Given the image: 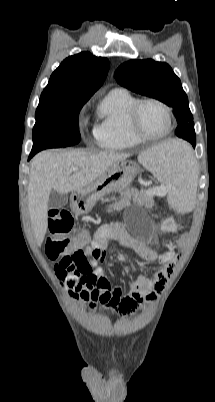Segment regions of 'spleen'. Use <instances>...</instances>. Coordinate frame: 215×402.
I'll list each match as a JSON object with an SVG mask.
<instances>
[{
  "instance_id": "obj_1",
  "label": "spleen",
  "mask_w": 215,
  "mask_h": 402,
  "mask_svg": "<svg viewBox=\"0 0 215 402\" xmlns=\"http://www.w3.org/2000/svg\"><path fill=\"white\" fill-rule=\"evenodd\" d=\"M142 163L159 181L170 186L172 198L171 207L174 210L193 208L198 191L200 170L194 169V159L191 157L190 144L182 140L165 141L138 156Z\"/></svg>"
}]
</instances>
